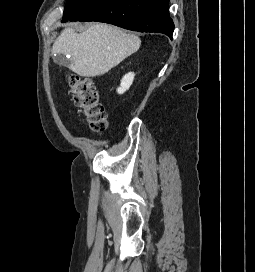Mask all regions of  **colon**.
Returning a JSON list of instances; mask_svg holds the SVG:
<instances>
[{
	"label": "colon",
	"instance_id": "obj_1",
	"mask_svg": "<svg viewBox=\"0 0 255 272\" xmlns=\"http://www.w3.org/2000/svg\"><path fill=\"white\" fill-rule=\"evenodd\" d=\"M67 84L75 106L90 128L98 133L104 132L107 127V115L101 102L100 91L91 79L70 74Z\"/></svg>",
	"mask_w": 255,
	"mask_h": 272
}]
</instances>
